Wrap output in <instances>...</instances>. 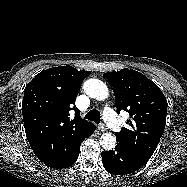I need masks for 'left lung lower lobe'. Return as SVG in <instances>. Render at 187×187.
Wrapping results in <instances>:
<instances>
[{
  "mask_svg": "<svg viewBox=\"0 0 187 187\" xmlns=\"http://www.w3.org/2000/svg\"><path fill=\"white\" fill-rule=\"evenodd\" d=\"M151 156L132 151L117 140L114 150L102 152L104 168L114 175H127L140 169Z\"/></svg>",
  "mask_w": 187,
  "mask_h": 187,
  "instance_id": "1",
  "label": "left lung lower lobe"
}]
</instances>
